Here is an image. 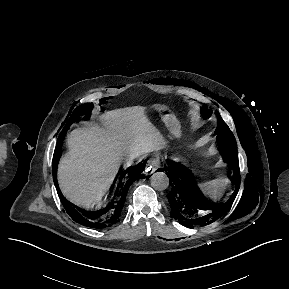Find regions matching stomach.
Here are the masks:
<instances>
[{"label":"stomach","mask_w":289,"mask_h":289,"mask_svg":"<svg viewBox=\"0 0 289 289\" xmlns=\"http://www.w3.org/2000/svg\"><path fill=\"white\" fill-rule=\"evenodd\" d=\"M154 107L160 113L162 121L166 124L173 138L180 140L182 138V129L180 122L175 117L174 113L163 104H156Z\"/></svg>","instance_id":"1"}]
</instances>
